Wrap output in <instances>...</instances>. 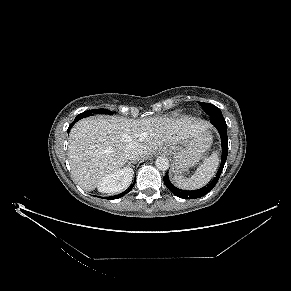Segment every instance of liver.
Here are the masks:
<instances>
[{
	"instance_id": "6515ba94",
	"label": "liver",
	"mask_w": 291,
	"mask_h": 291,
	"mask_svg": "<svg viewBox=\"0 0 291 291\" xmlns=\"http://www.w3.org/2000/svg\"><path fill=\"white\" fill-rule=\"evenodd\" d=\"M208 129V124L190 118L89 117L70 131L68 156L72 176L86 191L94 190L101 179L124 166L127 148H141L149 157L163 146L180 144ZM132 177L123 190L129 187ZM122 190V191H123Z\"/></svg>"
}]
</instances>
